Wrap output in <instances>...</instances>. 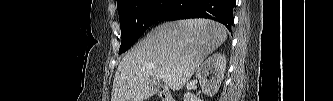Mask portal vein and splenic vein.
Segmentation results:
<instances>
[{"label": "portal vein and splenic vein", "mask_w": 333, "mask_h": 101, "mask_svg": "<svg viewBox=\"0 0 333 101\" xmlns=\"http://www.w3.org/2000/svg\"><path fill=\"white\" fill-rule=\"evenodd\" d=\"M170 79H171L170 75H164V76H162V81H164L166 83H168L170 81Z\"/></svg>", "instance_id": "portal-vein-and-splenic-vein-1"}]
</instances>
